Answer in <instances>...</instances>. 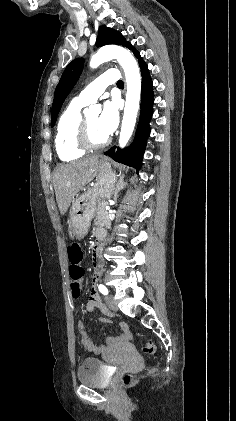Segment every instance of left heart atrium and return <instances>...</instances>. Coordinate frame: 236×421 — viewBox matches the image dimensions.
<instances>
[{"mask_svg":"<svg viewBox=\"0 0 236 421\" xmlns=\"http://www.w3.org/2000/svg\"><path fill=\"white\" fill-rule=\"evenodd\" d=\"M119 122L118 110L114 101H106L103 111L99 117V126L101 130L110 135L116 129Z\"/></svg>","mask_w":236,"mask_h":421,"instance_id":"1","label":"left heart atrium"}]
</instances>
